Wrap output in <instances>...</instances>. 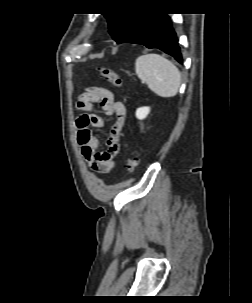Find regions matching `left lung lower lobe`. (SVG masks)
I'll return each mask as SVG.
<instances>
[{"label":"left lung lower lobe","instance_id":"1","mask_svg":"<svg viewBox=\"0 0 252 303\" xmlns=\"http://www.w3.org/2000/svg\"><path fill=\"white\" fill-rule=\"evenodd\" d=\"M143 44L147 48H158L183 63L177 37L170 19L163 13H147L140 22L118 43Z\"/></svg>","mask_w":252,"mask_h":303}]
</instances>
